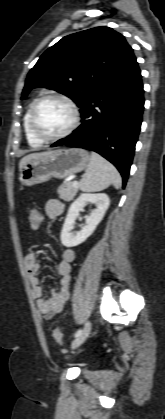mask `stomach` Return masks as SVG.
I'll use <instances>...</instances> for the list:
<instances>
[{
  "mask_svg": "<svg viewBox=\"0 0 165 419\" xmlns=\"http://www.w3.org/2000/svg\"><path fill=\"white\" fill-rule=\"evenodd\" d=\"M89 153L80 148L61 149L29 160L21 169L20 182L32 186L51 178L64 179L85 169Z\"/></svg>",
  "mask_w": 165,
  "mask_h": 419,
  "instance_id": "1",
  "label": "stomach"
}]
</instances>
